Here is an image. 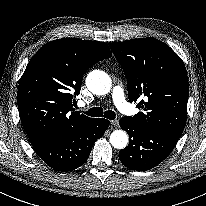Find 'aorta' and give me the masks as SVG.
I'll list each match as a JSON object with an SVG mask.
<instances>
[{"label":"aorta","mask_w":206,"mask_h":206,"mask_svg":"<svg viewBox=\"0 0 206 206\" xmlns=\"http://www.w3.org/2000/svg\"><path fill=\"white\" fill-rule=\"evenodd\" d=\"M86 85L93 94L103 95L110 91L111 79L105 72L94 70L88 74ZM110 143L116 149L125 148L128 144L127 133L123 130H115L110 135Z\"/></svg>","instance_id":"aorta-1"}]
</instances>
